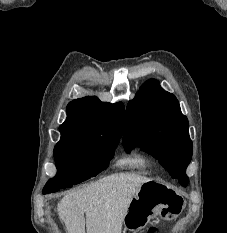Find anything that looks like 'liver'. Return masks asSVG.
Listing matches in <instances>:
<instances>
[{"mask_svg": "<svg viewBox=\"0 0 227 233\" xmlns=\"http://www.w3.org/2000/svg\"><path fill=\"white\" fill-rule=\"evenodd\" d=\"M151 179L112 174L66 194L57 205L67 233H121L124 216L138 188ZM85 214V217H84Z\"/></svg>", "mask_w": 227, "mask_h": 233, "instance_id": "obj_1", "label": "liver"}]
</instances>
